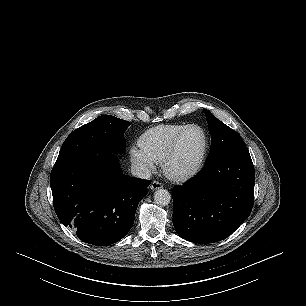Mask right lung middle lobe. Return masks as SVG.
Segmentation results:
<instances>
[{"label":"right lung middle lobe","instance_id":"1","mask_svg":"<svg viewBox=\"0 0 306 306\" xmlns=\"http://www.w3.org/2000/svg\"><path fill=\"white\" fill-rule=\"evenodd\" d=\"M129 125V121L111 115L97 117L66 138L55 165L81 154L125 152L124 132Z\"/></svg>","mask_w":306,"mask_h":306}]
</instances>
